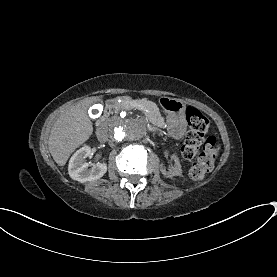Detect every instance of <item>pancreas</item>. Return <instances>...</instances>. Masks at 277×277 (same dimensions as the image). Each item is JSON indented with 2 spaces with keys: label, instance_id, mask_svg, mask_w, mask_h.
I'll use <instances>...</instances> for the list:
<instances>
[{
  "label": "pancreas",
  "instance_id": "obj_1",
  "mask_svg": "<svg viewBox=\"0 0 277 277\" xmlns=\"http://www.w3.org/2000/svg\"><path fill=\"white\" fill-rule=\"evenodd\" d=\"M105 109L109 114L125 112L127 109H137L145 115L147 123L152 124L155 128H160L163 125V120L159 114L160 109L157 104L151 103L148 98L142 97L136 100L133 96H127L124 99L121 97H108L105 99Z\"/></svg>",
  "mask_w": 277,
  "mask_h": 277
}]
</instances>
